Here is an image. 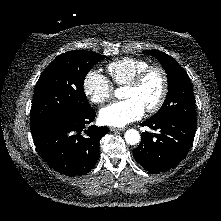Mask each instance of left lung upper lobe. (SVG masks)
Instances as JSON below:
<instances>
[{"label":"left lung upper lobe","instance_id":"5c2ea615","mask_svg":"<svg viewBox=\"0 0 221 221\" xmlns=\"http://www.w3.org/2000/svg\"><path fill=\"white\" fill-rule=\"evenodd\" d=\"M144 52L154 56L162 64L169 85L164 104L152 118L177 116L196 121L193 88L185 70L166 53L157 50Z\"/></svg>","mask_w":221,"mask_h":221}]
</instances>
